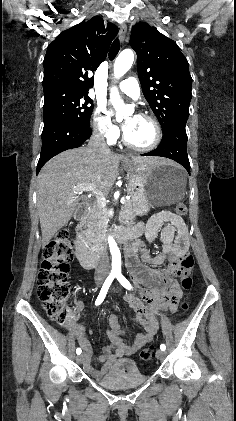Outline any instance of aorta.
<instances>
[{"label":"aorta","mask_w":236,"mask_h":421,"mask_svg":"<svg viewBox=\"0 0 236 421\" xmlns=\"http://www.w3.org/2000/svg\"><path fill=\"white\" fill-rule=\"evenodd\" d=\"M134 62V52L131 48H125L120 52L119 56H117L114 62V76L119 78V76H123L125 72H128L129 68H131ZM114 96H119V92L115 86H112L110 92V98L112 104ZM108 243L110 247V253L112 255V271L111 275H115V273H121V255L120 251L117 247L116 241H114L113 237H108Z\"/></svg>","instance_id":"762f6f07"}]
</instances>
